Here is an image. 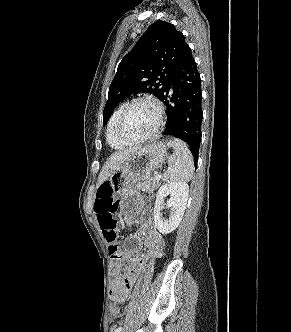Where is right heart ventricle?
<instances>
[{
	"label": "right heart ventricle",
	"instance_id": "1",
	"mask_svg": "<svg viewBox=\"0 0 291 332\" xmlns=\"http://www.w3.org/2000/svg\"><path fill=\"white\" fill-rule=\"evenodd\" d=\"M126 105V103H121L117 109L113 112L107 126V131H106V139L108 144L113 148V149H124L127 146H129V143H126L122 141L116 132V123L117 119L119 117L120 112L122 111L123 107Z\"/></svg>",
	"mask_w": 291,
	"mask_h": 332
}]
</instances>
